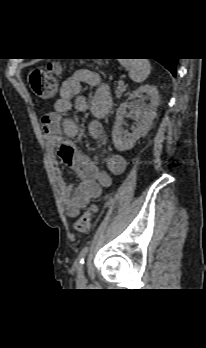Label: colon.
<instances>
[{
  "label": "colon",
  "instance_id": "obj_1",
  "mask_svg": "<svg viewBox=\"0 0 206 348\" xmlns=\"http://www.w3.org/2000/svg\"><path fill=\"white\" fill-rule=\"evenodd\" d=\"M58 65L35 67L28 72L30 90L38 98H47L56 91L55 74ZM98 211L96 204H91L84 213L75 221L74 228L77 232L87 233L91 228L93 215Z\"/></svg>",
  "mask_w": 206,
  "mask_h": 348
}]
</instances>
